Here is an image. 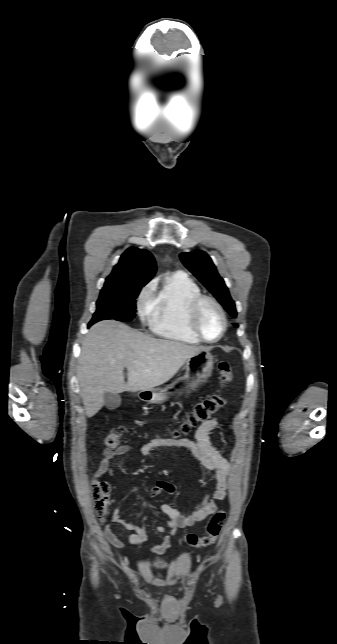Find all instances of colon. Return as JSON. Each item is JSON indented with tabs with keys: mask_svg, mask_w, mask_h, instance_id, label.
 Returning <instances> with one entry per match:
<instances>
[{
	"mask_svg": "<svg viewBox=\"0 0 337 644\" xmlns=\"http://www.w3.org/2000/svg\"><path fill=\"white\" fill-rule=\"evenodd\" d=\"M220 379L223 385H227L233 378V369L229 362L221 361L218 365ZM225 400L221 395H213L204 401L198 403L181 421L177 429L173 432L174 436L189 433L193 428L209 420V418L224 406ZM107 449H116L120 444V435L117 432H110L104 439ZM92 492L96 499V512L101 519H104L108 513V494L109 486L107 482L95 480L92 483ZM225 521V512L218 511L212 515L208 521L205 532L202 536L188 534L184 540L194 547H206L213 544Z\"/></svg>",
	"mask_w": 337,
	"mask_h": 644,
	"instance_id": "obj_1",
	"label": "colon"
}]
</instances>
